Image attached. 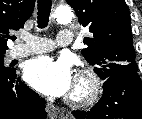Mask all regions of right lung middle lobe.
I'll list each match as a JSON object with an SVG mask.
<instances>
[{
  "instance_id": "1",
  "label": "right lung middle lobe",
  "mask_w": 142,
  "mask_h": 119,
  "mask_svg": "<svg viewBox=\"0 0 142 119\" xmlns=\"http://www.w3.org/2000/svg\"><path fill=\"white\" fill-rule=\"evenodd\" d=\"M4 55H5V52L0 53V74H5V73L13 70V68L5 67L3 65Z\"/></svg>"
}]
</instances>
